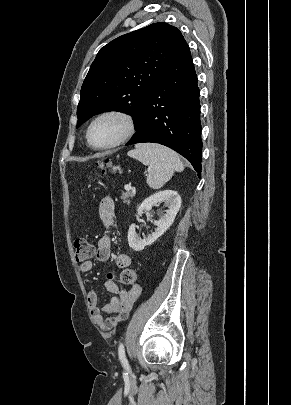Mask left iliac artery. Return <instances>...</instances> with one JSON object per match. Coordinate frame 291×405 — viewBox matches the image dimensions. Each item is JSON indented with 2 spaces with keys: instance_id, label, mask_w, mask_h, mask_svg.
<instances>
[{
  "instance_id": "left-iliac-artery-1",
  "label": "left iliac artery",
  "mask_w": 291,
  "mask_h": 405,
  "mask_svg": "<svg viewBox=\"0 0 291 405\" xmlns=\"http://www.w3.org/2000/svg\"><path fill=\"white\" fill-rule=\"evenodd\" d=\"M118 354H119V359L122 362V364L126 367L128 366V361L126 359V355H125V349H124V345L123 343L119 344L118 347Z\"/></svg>"
}]
</instances>
